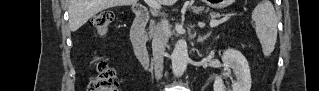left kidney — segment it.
<instances>
[{
    "mask_svg": "<svg viewBox=\"0 0 319 91\" xmlns=\"http://www.w3.org/2000/svg\"><path fill=\"white\" fill-rule=\"evenodd\" d=\"M224 73L223 76H229L231 69L234 71L236 81L232 84V89H226L222 77L215 78L214 91H250L251 74L248 62L241 52L235 49H227L222 56Z\"/></svg>",
    "mask_w": 319,
    "mask_h": 91,
    "instance_id": "1",
    "label": "left kidney"
}]
</instances>
